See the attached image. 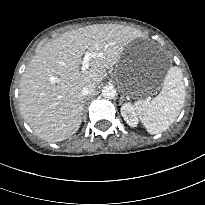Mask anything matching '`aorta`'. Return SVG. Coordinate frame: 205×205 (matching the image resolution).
Returning <instances> with one entry per match:
<instances>
[{
	"instance_id": "aorta-1",
	"label": "aorta",
	"mask_w": 205,
	"mask_h": 205,
	"mask_svg": "<svg viewBox=\"0 0 205 205\" xmlns=\"http://www.w3.org/2000/svg\"><path fill=\"white\" fill-rule=\"evenodd\" d=\"M102 96L107 99H113L116 96V89L113 85H106L102 89Z\"/></svg>"
}]
</instances>
